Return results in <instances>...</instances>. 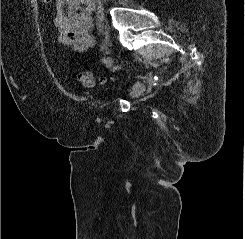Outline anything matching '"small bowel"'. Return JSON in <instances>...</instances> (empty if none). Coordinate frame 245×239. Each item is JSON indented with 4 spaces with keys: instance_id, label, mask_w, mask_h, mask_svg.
<instances>
[{
    "instance_id": "1",
    "label": "small bowel",
    "mask_w": 245,
    "mask_h": 239,
    "mask_svg": "<svg viewBox=\"0 0 245 239\" xmlns=\"http://www.w3.org/2000/svg\"><path fill=\"white\" fill-rule=\"evenodd\" d=\"M96 7L97 0H55L54 25L59 43L76 52L91 49L95 44L91 15Z\"/></svg>"
}]
</instances>
